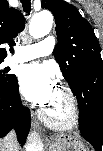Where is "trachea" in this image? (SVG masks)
<instances>
[{"instance_id":"trachea-1","label":"trachea","mask_w":103,"mask_h":151,"mask_svg":"<svg viewBox=\"0 0 103 151\" xmlns=\"http://www.w3.org/2000/svg\"><path fill=\"white\" fill-rule=\"evenodd\" d=\"M21 3L23 4L24 12L29 14L31 11V2L30 0H21Z\"/></svg>"}]
</instances>
